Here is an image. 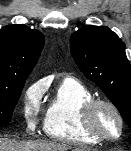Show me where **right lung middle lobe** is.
Instances as JSON below:
<instances>
[{
    "label": "right lung middle lobe",
    "instance_id": "obj_1",
    "mask_svg": "<svg viewBox=\"0 0 131 151\" xmlns=\"http://www.w3.org/2000/svg\"><path fill=\"white\" fill-rule=\"evenodd\" d=\"M25 81H0V125L10 122Z\"/></svg>",
    "mask_w": 131,
    "mask_h": 151
}]
</instances>
